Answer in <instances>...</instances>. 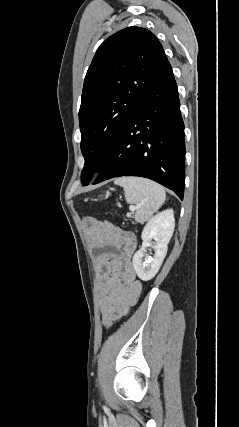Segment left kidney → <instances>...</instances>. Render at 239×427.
<instances>
[{
  "label": "left kidney",
  "instance_id": "left-kidney-1",
  "mask_svg": "<svg viewBox=\"0 0 239 427\" xmlns=\"http://www.w3.org/2000/svg\"><path fill=\"white\" fill-rule=\"evenodd\" d=\"M174 227L175 218L172 209L158 213L145 225L141 234L142 247L133 256V267L141 280H151L159 271L166 256ZM152 240L155 241L154 244H152ZM147 247H152L155 255L153 258L143 261Z\"/></svg>",
  "mask_w": 239,
  "mask_h": 427
}]
</instances>
